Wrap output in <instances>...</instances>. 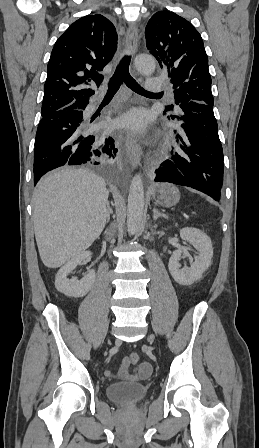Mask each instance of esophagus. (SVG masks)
<instances>
[{
	"mask_svg": "<svg viewBox=\"0 0 259 448\" xmlns=\"http://www.w3.org/2000/svg\"><path fill=\"white\" fill-rule=\"evenodd\" d=\"M138 46V30L136 25L130 24L126 34L125 48L126 51L134 55ZM127 156L132 167H137L143 154L141 146L130 135L126 138Z\"/></svg>",
	"mask_w": 259,
	"mask_h": 448,
	"instance_id": "1",
	"label": "esophagus"
}]
</instances>
